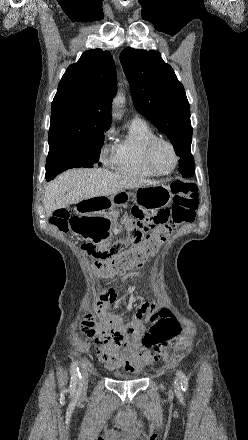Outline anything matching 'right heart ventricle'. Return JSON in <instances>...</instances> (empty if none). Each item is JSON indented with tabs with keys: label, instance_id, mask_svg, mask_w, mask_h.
<instances>
[{
	"label": "right heart ventricle",
	"instance_id": "1",
	"mask_svg": "<svg viewBox=\"0 0 248 440\" xmlns=\"http://www.w3.org/2000/svg\"><path fill=\"white\" fill-rule=\"evenodd\" d=\"M151 127L141 120H133L127 135L115 145L113 168L121 174L149 178L154 174L144 164L143 152L149 141L156 138Z\"/></svg>",
	"mask_w": 248,
	"mask_h": 440
}]
</instances>
